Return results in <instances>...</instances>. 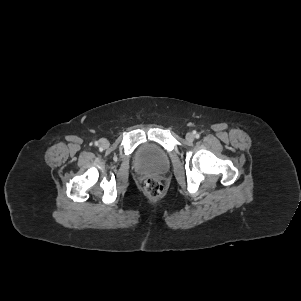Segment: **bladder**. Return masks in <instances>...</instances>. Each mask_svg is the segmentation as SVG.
<instances>
[{
    "mask_svg": "<svg viewBox=\"0 0 301 301\" xmlns=\"http://www.w3.org/2000/svg\"><path fill=\"white\" fill-rule=\"evenodd\" d=\"M135 164L140 171L161 174L169 168V157L160 146L146 143L138 149Z\"/></svg>",
    "mask_w": 301,
    "mask_h": 301,
    "instance_id": "31cf9c89",
    "label": "bladder"
}]
</instances>
